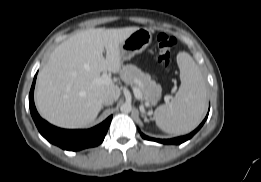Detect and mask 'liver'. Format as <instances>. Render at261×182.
<instances>
[{
	"instance_id": "obj_1",
	"label": "liver",
	"mask_w": 261,
	"mask_h": 182,
	"mask_svg": "<svg viewBox=\"0 0 261 182\" xmlns=\"http://www.w3.org/2000/svg\"><path fill=\"white\" fill-rule=\"evenodd\" d=\"M137 29L91 28L57 46L37 78L35 102L40 115L62 128L91 124L102 109L101 98L109 94L117 100L121 94L113 82L95 80L102 72H121L120 44Z\"/></svg>"
}]
</instances>
